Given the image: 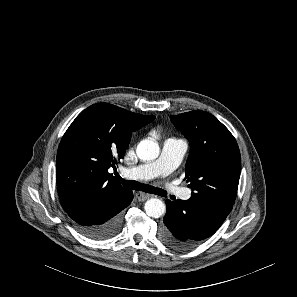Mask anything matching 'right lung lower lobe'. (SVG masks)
Listing matches in <instances>:
<instances>
[{"label": "right lung lower lobe", "instance_id": "98d812e1", "mask_svg": "<svg viewBox=\"0 0 297 297\" xmlns=\"http://www.w3.org/2000/svg\"><path fill=\"white\" fill-rule=\"evenodd\" d=\"M133 199L131 190L105 191L85 198L67 214L77 230L88 238L106 240L115 236L121 227L122 210Z\"/></svg>", "mask_w": 297, "mask_h": 297}]
</instances>
